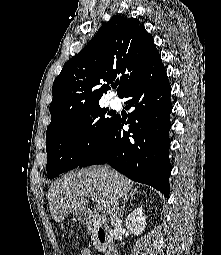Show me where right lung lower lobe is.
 Returning <instances> with one entry per match:
<instances>
[{
  "label": "right lung lower lobe",
  "mask_w": 221,
  "mask_h": 255,
  "mask_svg": "<svg viewBox=\"0 0 221 255\" xmlns=\"http://www.w3.org/2000/svg\"><path fill=\"white\" fill-rule=\"evenodd\" d=\"M171 87L159 57L120 98H127L128 120L115 116L99 143L78 166L108 163L128 178L169 197L171 165L168 132ZM129 124V130L123 125Z\"/></svg>",
  "instance_id": "1"
}]
</instances>
